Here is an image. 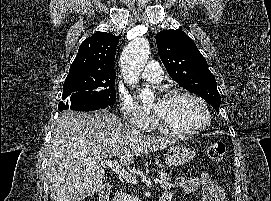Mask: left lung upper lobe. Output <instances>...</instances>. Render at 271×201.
<instances>
[{
  "instance_id": "obj_1",
  "label": "left lung upper lobe",
  "mask_w": 271,
  "mask_h": 201,
  "mask_svg": "<svg viewBox=\"0 0 271 201\" xmlns=\"http://www.w3.org/2000/svg\"><path fill=\"white\" fill-rule=\"evenodd\" d=\"M156 43L158 54L172 79L219 111L221 97L215 77L194 41L177 29L161 31L156 35Z\"/></svg>"
}]
</instances>
